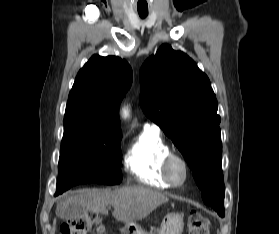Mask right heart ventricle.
I'll use <instances>...</instances> for the list:
<instances>
[{
  "instance_id": "1",
  "label": "right heart ventricle",
  "mask_w": 279,
  "mask_h": 234,
  "mask_svg": "<svg viewBox=\"0 0 279 234\" xmlns=\"http://www.w3.org/2000/svg\"><path fill=\"white\" fill-rule=\"evenodd\" d=\"M169 152V146L157 131L144 129L128 148L124 165L140 183L155 188H170L162 170L163 160Z\"/></svg>"
}]
</instances>
